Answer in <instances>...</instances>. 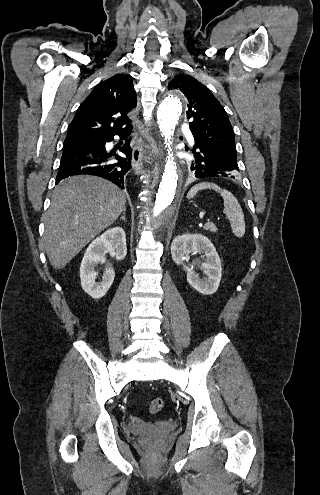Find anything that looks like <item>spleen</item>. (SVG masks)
<instances>
[{
    "instance_id": "spleen-1",
    "label": "spleen",
    "mask_w": 320,
    "mask_h": 495,
    "mask_svg": "<svg viewBox=\"0 0 320 495\" xmlns=\"http://www.w3.org/2000/svg\"><path fill=\"white\" fill-rule=\"evenodd\" d=\"M204 189H212L220 193L224 200V213L230 221L232 232L236 237L241 238L245 234V221L244 213L236 197L227 189H222L210 182L196 184L189 190L187 197L193 198L198 191Z\"/></svg>"
}]
</instances>
